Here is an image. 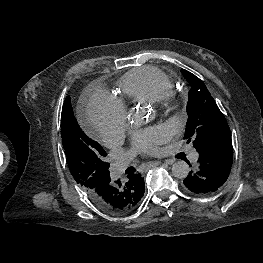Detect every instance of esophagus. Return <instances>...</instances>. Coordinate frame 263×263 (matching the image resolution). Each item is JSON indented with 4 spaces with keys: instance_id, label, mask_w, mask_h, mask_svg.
I'll list each match as a JSON object with an SVG mask.
<instances>
[{
    "instance_id": "34e87169",
    "label": "esophagus",
    "mask_w": 263,
    "mask_h": 263,
    "mask_svg": "<svg viewBox=\"0 0 263 263\" xmlns=\"http://www.w3.org/2000/svg\"><path fill=\"white\" fill-rule=\"evenodd\" d=\"M171 163H172V162H168V164H171ZM159 164H161V162H159V161H153V162H149L148 165H147V167H148V168H151V167L157 166V165H159Z\"/></svg>"
}]
</instances>
